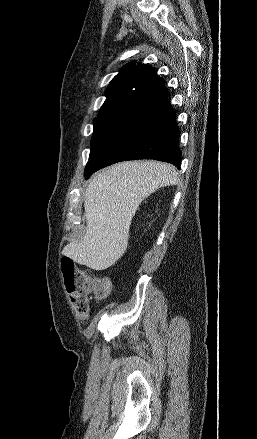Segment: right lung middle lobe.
<instances>
[{
	"label": "right lung middle lobe",
	"mask_w": 257,
	"mask_h": 439,
	"mask_svg": "<svg viewBox=\"0 0 257 439\" xmlns=\"http://www.w3.org/2000/svg\"><path fill=\"white\" fill-rule=\"evenodd\" d=\"M126 121L123 118L104 117L94 119V133L89 160L108 141L114 132Z\"/></svg>",
	"instance_id": "obj_1"
}]
</instances>
